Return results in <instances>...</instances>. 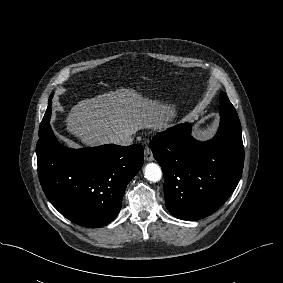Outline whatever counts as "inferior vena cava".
Here are the masks:
<instances>
[{"label":"inferior vena cava","instance_id":"1","mask_svg":"<svg viewBox=\"0 0 283 283\" xmlns=\"http://www.w3.org/2000/svg\"><path fill=\"white\" fill-rule=\"evenodd\" d=\"M132 135L133 134L129 132L119 133L117 135H114L110 139V143L116 144V145H123V146L131 145L133 143Z\"/></svg>","mask_w":283,"mask_h":283}]
</instances>
